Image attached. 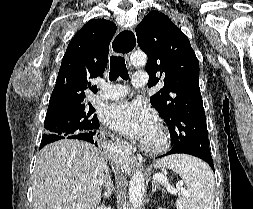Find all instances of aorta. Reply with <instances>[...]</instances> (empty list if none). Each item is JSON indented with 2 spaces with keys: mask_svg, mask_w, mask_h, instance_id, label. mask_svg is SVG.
<instances>
[{
  "mask_svg": "<svg viewBox=\"0 0 253 209\" xmlns=\"http://www.w3.org/2000/svg\"><path fill=\"white\" fill-rule=\"evenodd\" d=\"M130 62L135 67L144 66L147 62V56L143 52H134L130 57ZM144 176L140 170H136L129 184V201L133 209H139L144 197Z\"/></svg>",
  "mask_w": 253,
  "mask_h": 209,
  "instance_id": "1",
  "label": "aorta"
}]
</instances>
